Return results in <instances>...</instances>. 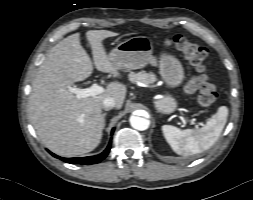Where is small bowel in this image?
<instances>
[{
  "instance_id": "obj_1",
  "label": "small bowel",
  "mask_w": 253,
  "mask_h": 200,
  "mask_svg": "<svg viewBox=\"0 0 253 200\" xmlns=\"http://www.w3.org/2000/svg\"><path fill=\"white\" fill-rule=\"evenodd\" d=\"M199 80V78L197 77H193L187 84L186 86V91L188 93H192L195 91V88H196V84H197V81Z\"/></svg>"
}]
</instances>
